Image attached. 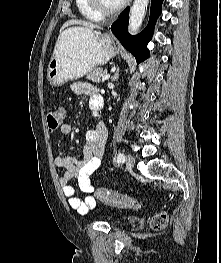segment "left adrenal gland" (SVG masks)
I'll return each instance as SVG.
<instances>
[{"mask_svg":"<svg viewBox=\"0 0 221 263\" xmlns=\"http://www.w3.org/2000/svg\"><path fill=\"white\" fill-rule=\"evenodd\" d=\"M119 79V68L115 71L114 75L112 76V81H117Z\"/></svg>","mask_w":221,"mask_h":263,"instance_id":"1","label":"left adrenal gland"}]
</instances>
